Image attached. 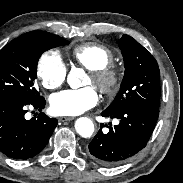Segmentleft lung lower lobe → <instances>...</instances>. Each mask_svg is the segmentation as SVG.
I'll list each match as a JSON object with an SVG mask.
<instances>
[{
	"label": "left lung lower lobe",
	"instance_id": "left-lung-lower-lobe-1",
	"mask_svg": "<svg viewBox=\"0 0 183 183\" xmlns=\"http://www.w3.org/2000/svg\"><path fill=\"white\" fill-rule=\"evenodd\" d=\"M102 116L117 118L118 125L109 127L104 134L101 129L89 144L88 154L102 166L120 164L143 149L155 127L159 108L131 105L115 112L103 111Z\"/></svg>",
	"mask_w": 183,
	"mask_h": 183
}]
</instances>
